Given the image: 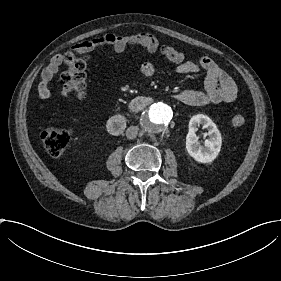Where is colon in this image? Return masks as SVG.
Here are the masks:
<instances>
[{
	"label": "colon",
	"mask_w": 281,
	"mask_h": 281,
	"mask_svg": "<svg viewBox=\"0 0 281 281\" xmlns=\"http://www.w3.org/2000/svg\"><path fill=\"white\" fill-rule=\"evenodd\" d=\"M104 37L84 41L73 51L64 54L63 59L68 65V70L61 74V83L68 97L80 100L88 97L86 64L95 49L107 46ZM231 123L234 127L242 128L247 123V117L243 113H235L231 118ZM41 137L47 154L52 158L60 157L71 139L69 128L61 122L46 128Z\"/></svg>",
	"instance_id": "5ec220e1"
}]
</instances>
